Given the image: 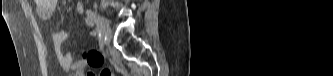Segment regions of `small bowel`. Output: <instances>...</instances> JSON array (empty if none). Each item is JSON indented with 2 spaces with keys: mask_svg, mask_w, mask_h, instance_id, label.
I'll use <instances>...</instances> for the list:
<instances>
[{
  "mask_svg": "<svg viewBox=\"0 0 333 76\" xmlns=\"http://www.w3.org/2000/svg\"><path fill=\"white\" fill-rule=\"evenodd\" d=\"M58 0H37L36 1V11L37 14L43 19H50L53 14ZM77 9L80 13H83V5L78 2ZM88 26H93V22L87 17L85 19ZM91 36L95 33L90 32ZM73 38L67 34L64 27L55 31L52 35V44L56 53V57L59 65L65 70H75L77 76H84L85 69L87 66L97 69L100 68L104 62V55L97 51H89L88 47L82 48V53L86 54L88 58H82L75 61V54L73 51L63 52L62 46L64 43L72 40ZM105 69H102L104 71Z\"/></svg>",
  "mask_w": 333,
  "mask_h": 76,
  "instance_id": "1",
  "label": "small bowel"
}]
</instances>
